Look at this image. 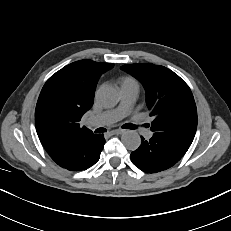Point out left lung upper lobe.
<instances>
[{
  "label": "left lung upper lobe",
  "instance_id": "left-lung-upper-lobe-1",
  "mask_svg": "<svg viewBox=\"0 0 231 231\" xmlns=\"http://www.w3.org/2000/svg\"><path fill=\"white\" fill-rule=\"evenodd\" d=\"M121 69L137 78L146 89V104L154 117L151 131L190 146L197 128V109L188 85L164 66L127 64Z\"/></svg>",
  "mask_w": 231,
  "mask_h": 231
}]
</instances>
